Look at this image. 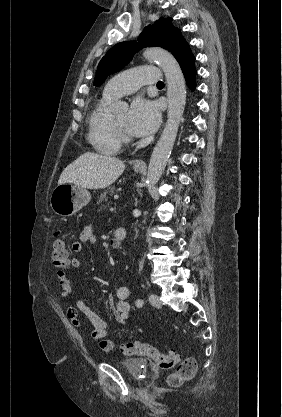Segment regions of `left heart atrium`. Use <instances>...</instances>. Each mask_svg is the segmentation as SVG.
Instances as JSON below:
<instances>
[{"instance_id":"1","label":"left heart atrium","mask_w":282,"mask_h":417,"mask_svg":"<svg viewBox=\"0 0 282 417\" xmlns=\"http://www.w3.org/2000/svg\"><path fill=\"white\" fill-rule=\"evenodd\" d=\"M160 122L157 106L147 100H137L131 106L126 120V129L135 136L152 133Z\"/></svg>"}]
</instances>
